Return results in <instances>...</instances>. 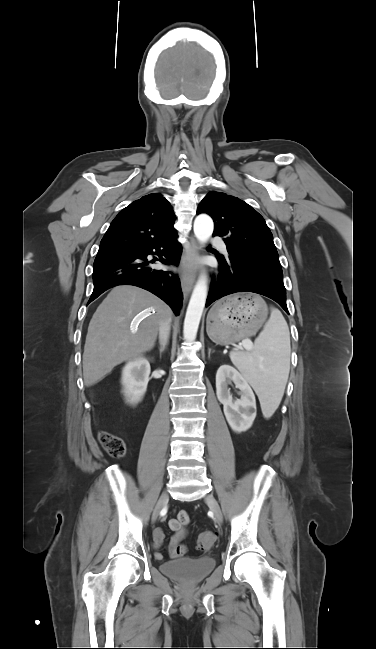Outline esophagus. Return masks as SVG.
Listing matches in <instances>:
<instances>
[{
    "mask_svg": "<svg viewBox=\"0 0 376 649\" xmlns=\"http://www.w3.org/2000/svg\"><path fill=\"white\" fill-rule=\"evenodd\" d=\"M199 254V245L195 238H191L190 249L182 259L181 284L182 290L188 294L194 286L196 277V260Z\"/></svg>",
    "mask_w": 376,
    "mask_h": 649,
    "instance_id": "34e87169",
    "label": "esophagus"
}]
</instances>
